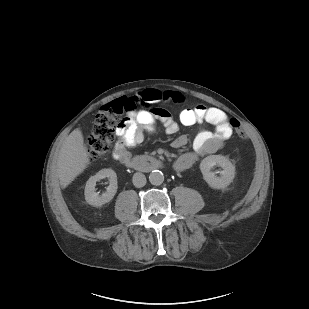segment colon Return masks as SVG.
Returning <instances> with one entry per match:
<instances>
[{"instance_id":"5ec220e1","label":"colon","mask_w":309,"mask_h":309,"mask_svg":"<svg viewBox=\"0 0 309 309\" xmlns=\"http://www.w3.org/2000/svg\"><path fill=\"white\" fill-rule=\"evenodd\" d=\"M130 103L129 98L117 99L105 104L97 113L91 135L87 141V159L89 162H94L110 153L118 130L123 128L127 122V118L123 114L129 110ZM232 127L241 139L248 138L247 132L238 121H232Z\"/></svg>"}]
</instances>
